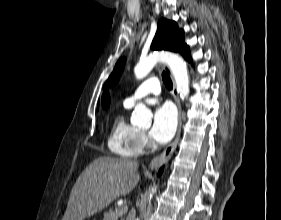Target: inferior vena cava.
<instances>
[{
    "label": "inferior vena cava",
    "instance_id": "602c4592",
    "mask_svg": "<svg viewBox=\"0 0 281 220\" xmlns=\"http://www.w3.org/2000/svg\"><path fill=\"white\" fill-rule=\"evenodd\" d=\"M135 215H136V211L135 209L133 208L131 210V212L129 213L128 217H127V220H134L135 219Z\"/></svg>",
    "mask_w": 281,
    "mask_h": 220
}]
</instances>
